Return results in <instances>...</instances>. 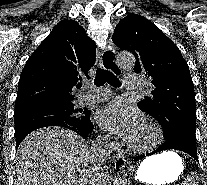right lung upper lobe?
<instances>
[{
    "label": "right lung upper lobe",
    "instance_id": "right-lung-upper-lobe-1",
    "mask_svg": "<svg viewBox=\"0 0 207 185\" xmlns=\"http://www.w3.org/2000/svg\"><path fill=\"white\" fill-rule=\"evenodd\" d=\"M96 47L74 20L60 21L26 62L15 111L42 104H73L72 89L89 78Z\"/></svg>",
    "mask_w": 207,
    "mask_h": 185
}]
</instances>
